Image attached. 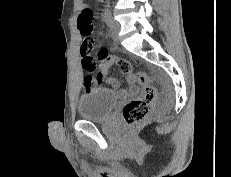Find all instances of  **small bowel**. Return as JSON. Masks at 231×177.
Here are the masks:
<instances>
[{"mask_svg":"<svg viewBox=\"0 0 231 177\" xmlns=\"http://www.w3.org/2000/svg\"><path fill=\"white\" fill-rule=\"evenodd\" d=\"M88 9V7L86 6V4L84 2L81 3V12H83L84 10ZM111 63L107 62V61H103L100 64V71L97 74V79H98V84L101 83H108L109 85H111L112 88H119L120 87V82L114 78L111 77L109 75V69L111 67ZM128 84L132 87V89L135 88V79L131 76V75H127L126 78Z\"/></svg>","mask_w":231,"mask_h":177,"instance_id":"small-bowel-1","label":"small bowel"}]
</instances>
